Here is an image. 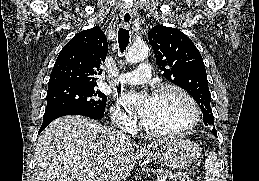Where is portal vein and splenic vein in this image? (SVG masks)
<instances>
[{"mask_svg": "<svg viewBox=\"0 0 259 181\" xmlns=\"http://www.w3.org/2000/svg\"><path fill=\"white\" fill-rule=\"evenodd\" d=\"M93 172L91 171V174H92ZM166 177H162V178H157V181H166Z\"/></svg>", "mask_w": 259, "mask_h": 181, "instance_id": "1", "label": "portal vein and splenic vein"}]
</instances>
